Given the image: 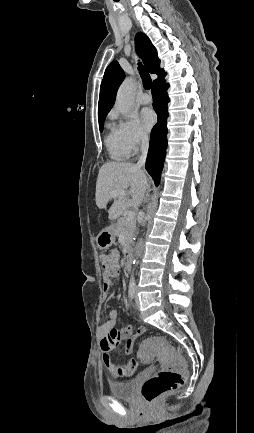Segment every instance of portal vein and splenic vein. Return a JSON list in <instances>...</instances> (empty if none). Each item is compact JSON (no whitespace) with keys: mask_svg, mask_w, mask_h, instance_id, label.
<instances>
[{"mask_svg":"<svg viewBox=\"0 0 254 433\" xmlns=\"http://www.w3.org/2000/svg\"><path fill=\"white\" fill-rule=\"evenodd\" d=\"M117 196H126V193L123 191H115V192L111 193L112 198H116ZM134 218H135V212L129 211L127 216H126V220L131 221V220H134Z\"/></svg>","mask_w":254,"mask_h":433,"instance_id":"1","label":"portal vein and splenic vein"}]
</instances>
